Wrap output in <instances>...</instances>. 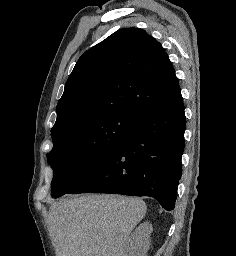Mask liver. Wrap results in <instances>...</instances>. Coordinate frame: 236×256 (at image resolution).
<instances>
[{"label":"liver","instance_id":"obj_1","mask_svg":"<svg viewBox=\"0 0 236 256\" xmlns=\"http://www.w3.org/2000/svg\"><path fill=\"white\" fill-rule=\"evenodd\" d=\"M142 198L85 194L61 198L49 208L56 256H127L126 242L143 220Z\"/></svg>","mask_w":236,"mask_h":256}]
</instances>
